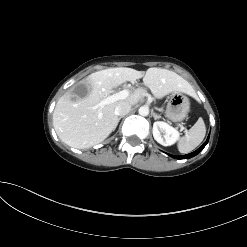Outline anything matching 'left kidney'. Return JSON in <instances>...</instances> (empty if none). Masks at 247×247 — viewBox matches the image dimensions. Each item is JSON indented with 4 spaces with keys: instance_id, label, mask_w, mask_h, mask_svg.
Instances as JSON below:
<instances>
[{
    "instance_id": "obj_1",
    "label": "left kidney",
    "mask_w": 247,
    "mask_h": 247,
    "mask_svg": "<svg viewBox=\"0 0 247 247\" xmlns=\"http://www.w3.org/2000/svg\"><path fill=\"white\" fill-rule=\"evenodd\" d=\"M153 137L159 144L171 146L179 139V132L166 122L156 121L153 124Z\"/></svg>"
}]
</instances>
